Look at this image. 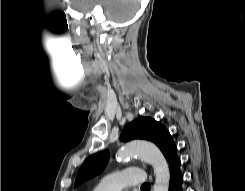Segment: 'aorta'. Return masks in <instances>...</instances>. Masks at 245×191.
<instances>
[{
    "label": "aorta",
    "mask_w": 245,
    "mask_h": 191,
    "mask_svg": "<svg viewBox=\"0 0 245 191\" xmlns=\"http://www.w3.org/2000/svg\"><path fill=\"white\" fill-rule=\"evenodd\" d=\"M118 158L127 160L138 157L150 164L155 173L153 191H168L170 171L168 163L157 146L147 141H131L123 145L117 152Z\"/></svg>",
    "instance_id": "aorta-1"
}]
</instances>
